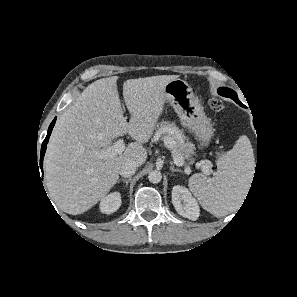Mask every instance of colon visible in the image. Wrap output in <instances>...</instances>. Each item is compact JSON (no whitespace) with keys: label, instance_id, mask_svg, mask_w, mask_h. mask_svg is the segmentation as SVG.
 I'll list each match as a JSON object with an SVG mask.
<instances>
[{"label":"colon","instance_id":"1","mask_svg":"<svg viewBox=\"0 0 297 297\" xmlns=\"http://www.w3.org/2000/svg\"><path fill=\"white\" fill-rule=\"evenodd\" d=\"M210 108L215 112H221L224 109L222 101L217 97H211L209 99Z\"/></svg>","mask_w":297,"mask_h":297}]
</instances>
